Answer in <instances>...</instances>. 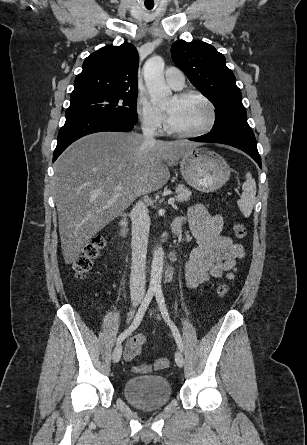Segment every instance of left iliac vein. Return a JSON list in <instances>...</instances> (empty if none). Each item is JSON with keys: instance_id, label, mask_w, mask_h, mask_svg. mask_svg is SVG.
<instances>
[{"instance_id": "4c4485c4", "label": "left iliac vein", "mask_w": 307, "mask_h": 445, "mask_svg": "<svg viewBox=\"0 0 307 445\" xmlns=\"http://www.w3.org/2000/svg\"><path fill=\"white\" fill-rule=\"evenodd\" d=\"M175 361L179 367H183L184 365V357L180 351H176L175 353Z\"/></svg>"}]
</instances>
